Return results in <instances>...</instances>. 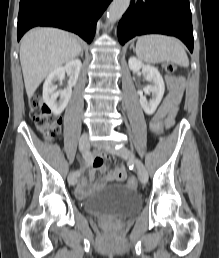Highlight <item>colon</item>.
<instances>
[{
  "label": "colon",
  "instance_id": "5ec220e1",
  "mask_svg": "<svg viewBox=\"0 0 219 258\" xmlns=\"http://www.w3.org/2000/svg\"><path fill=\"white\" fill-rule=\"evenodd\" d=\"M164 69L168 73H172L176 70V65L173 63H165ZM30 117L34 121L36 127L41 131L47 140H52L58 136L61 129V118L53 114L48 106L43 102L40 96H33L29 104ZM150 129L155 138H159L164 129V116L156 113L150 123ZM128 186L136 189L138 186L135 177H131L128 180Z\"/></svg>",
  "mask_w": 219,
  "mask_h": 258
}]
</instances>
